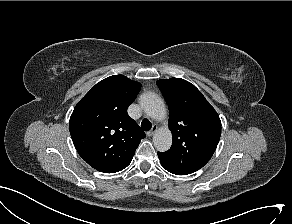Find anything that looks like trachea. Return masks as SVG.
Returning a JSON list of instances; mask_svg holds the SVG:
<instances>
[{"instance_id":"trachea-1","label":"trachea","mask_w":292,"mask_h":224,"mask_svg":"<svg viewBox=\"0 0 292 224\" xmlns=\"http://www.w3.org/2000/svg\"><path fill=\"white\" fill-rule=\"evenodd\" d=\"M141 127L144 131H149L152 127V124L151 122L148 120V119H144L142 122H141Z\"/></svg>"}]
</instances>
